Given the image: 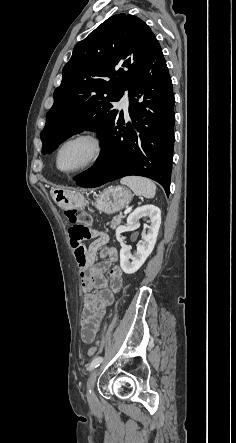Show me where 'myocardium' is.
<instances>
[{
  "mask_svg": "<svg viewBox=\"0 0 236 443\" xmlns=\"http://www.w3.org/2000/svg\"><path fill=\"white\" fill-rule=\"evenodd\" d=\"M77 140H86L91 143L93 148V153L91 158L82 166L70 170L62 169L60 166V155L62 150L65 148L66 145L73 141ZM104 152V144L102 138L99 136L98 133L91 131V130H84L77 132L68 138H66L58 147L56 152V166L59 171L66 173V174H77L85 172L91 168H93L101 159Z\"/></svg>",
  "mask_w": 236,
  "mask_h": 443,
  "instance_id": "obj_1",
  "label": "myocardium"
}]
</instances>
